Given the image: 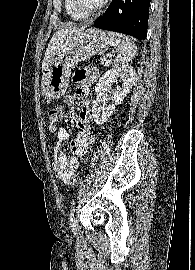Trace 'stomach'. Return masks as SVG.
Segmentation results:
<instances>
[{
  "instance_id": "obj_1",
  "label": "stomach",
  "mask_w": 195,
  "mask_h": 270,
  "mask_svg": "<svg viewBox=\"0 0 195 270\" xmlns=\"http://www.w3.org/2000/svg\"><path fill=\"white\" fill-rule=\"evenodd\" d=\"M111 45L108 34L100 29L86 30L66 36L55 59L43 72L42 94L47 99L61 97L69 84L71 70L96 53L105 52Z\"/></svg>"
}]
</instances>
